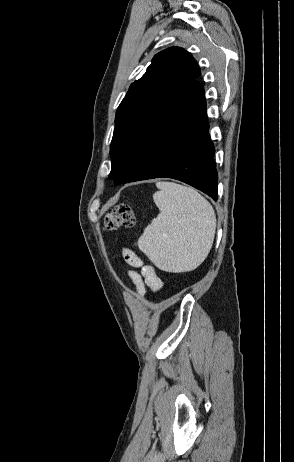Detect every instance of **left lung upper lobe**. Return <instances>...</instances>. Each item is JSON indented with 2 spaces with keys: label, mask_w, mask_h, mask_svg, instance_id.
Returning <instances> with one entry per match:
<instances>
[{
  "label": "left lung upper lobe",
  "mask_w": 294,
  "mask_h": 462,
  "mask_svg": "<svg viewBox=\"0 0 294 462\" xmlns=\"http://www.w3.org/2000/svg\"><path fill=\"white\" fill-rule=\"evenodd\" d=\"M200 70L192 55L179 47L156 54L145 74L131 84L116 111L110 146L113 179L156 107L179 97L187 84L195 82Z\"/></svg>",
  "instance_id": "1"
}]
</instances>
